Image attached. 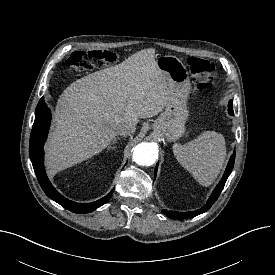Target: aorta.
<instances>
[{
	"label": "aorta",
	"instance_id": "762f6f07",
	"mask_svg": "<svg viewBox=\"0 0 275 275\" xmlns=\"http://www.w3.org/2000/svg\"><path fill=\"white\" fill-rule=\"evenodd\" d=\"M158 159V149L151 143H140L133 148V161L141 166H151Z\"/></svg>",
	"mask_w": 275,
	"mask_h": 275
}]
</instances>
